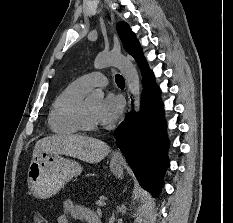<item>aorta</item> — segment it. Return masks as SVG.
Returning <instances> with one entry per match:
<instances>
[{
	"label": "aorta",
	"instance_id": "762f6f07",
	"mask_svg": "<svg viewBox=\"0 0 233 223\" xmlns=\"http://www.w3.org/2000/svg\"><path fill=\"white\" fill-rule=\"evenodd\" d=\"M108 66H116V68H119L133 96L134 110L135 112H140V80L138 72L136 68H134L132 62H129V60L123 58V56H97L94 62V68H96V70H102V68H108ZM103 98L104 92H102V90H90L86 100L102 102Z\"/></svg>",
	"mask_w": 233,
	"mask_h": 223
}]
</instances>
